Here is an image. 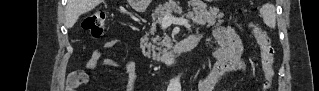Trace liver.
<instances>
[{
  "label": "liver",
  "instance_id": "liver-1",
  "mask_svg": "<svg viewBox=\"0 0 319 91\" xmlns=\"http://www.w3.org/2000/svg\"><path fill=\"white\" fill-rule=\"evenodd\" d=\"M101 1L102 0H69L67 5L68 26L72 27L79 16L94 9Z\"/></svg>",
  "mask_w": 319,
  "mask_h": 91
}]
</instances>
